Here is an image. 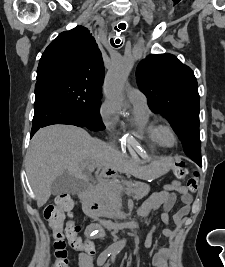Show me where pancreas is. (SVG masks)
<instances>
[{"instance_id":"obj_1","label":"pancreas","mask_w":225,"mask_h":267,"mask_svg":"<svg viewBox=\"0 0 225 267\" xmlns=\"http://www.w3.org/2000/svg\"><path fill=\"white\" fill-rule=\"evenodd\" d=\"M124 191L134 199L139 200L145 197L150 186L139 182H127ZM96 196L103 202L101 214L110 217L116 210V204L121 200V194L116 192L115 186L108 185L105 181L100 182L94 189Z\"/></svg>"}]
</instances>
